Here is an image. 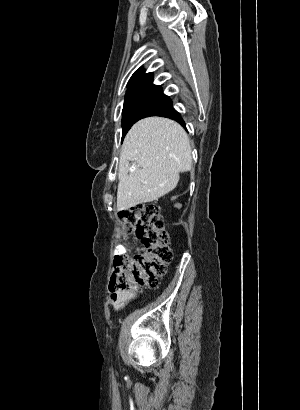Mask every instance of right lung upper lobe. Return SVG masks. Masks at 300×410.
Wrapping results in <instances>:
<instances>
[{
	"mask_svg": "<svg viewBox=\"0 0 300 410\" xmlns=\"http://www.w3.org/2000/svg\"><path fill=\"white\" fill-rule=\"evenodd\" d=\"M153 81V74L147 73L142 69H138L131 77L128 82V87L141 85V84H152Z\"/></svg>",
	"mask_w": 300,
	"mask_h": 410,
	"instance_id": "cb5924a9",
	"label": "right lung upper lobe"
}]
</instances>
